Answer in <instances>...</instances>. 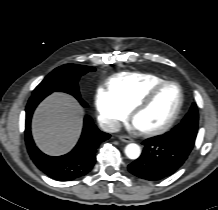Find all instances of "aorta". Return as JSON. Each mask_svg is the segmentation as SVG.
Masks as SVG:
<instances>
[{"mask_svg":"<svg viewBox=\"0 0 218 210\" xmlns=\"http://www.w3.org/2000/svg\"><path fill=\"white\" fill-rule=\"evenodd\" d=\"M125 154L129 159H137L141 154L140 146L135 143H130L125 147Z\"/></svg>","mask_w":218,"mask_h":210,"instance_id":"762f6f07","label":"aorta"}]
</instances>
